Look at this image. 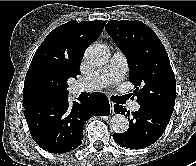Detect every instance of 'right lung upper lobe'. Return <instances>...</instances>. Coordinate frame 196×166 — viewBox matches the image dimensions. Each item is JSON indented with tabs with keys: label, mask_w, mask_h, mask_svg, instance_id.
<instances>
[{
	"label": "right lung upper lobe",
	"mask_w": 196,
	"mask_h": 166,
	"mask_svg": "<svg viewBox=\"0 0 196 166\" xmlns=\"http://www.w3.org/2000/svg\"><path fill=\"white\" fill-rule=\"evenodd\" d=\"M106 21H69L50 32L31 61L23 89L24 109L68 96L67 80L80 74L86 48L103 31ZM44 87V94L38 89Z\"/></svg>",
	"instance_id": "right-lung-upper-lobe-1"
}]
</instances>
